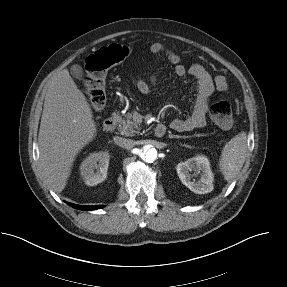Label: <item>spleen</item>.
<instances>
[{
    "instance_id": "spleen-1",
    "label": "spleen",
    "mask_w": 287,
    "mask_h": 287,
    "mask_svg": "<svg viewBox=\"0 0 287 287\" xmlns=\"http://www.w3.org/2000/svg\"><path fill=\"white\" fill-rule=\"evenodd\" d=\"M246 154L247 134L240 132L226 143L221 153L219 169L224 175L225 180L230 182L237 176L243 167Z\"/></svg>"
}]
</instances>
